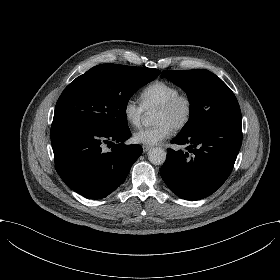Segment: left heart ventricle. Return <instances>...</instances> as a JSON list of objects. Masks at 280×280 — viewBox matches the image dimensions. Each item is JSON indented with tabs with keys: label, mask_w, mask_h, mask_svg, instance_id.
Wrapping results in <instances>:
<instances>
[{
	"label": "left heart ventricle",
	"mask_w": 280,
	"mask_h": 280,
	"mask_svg": "<svg viewBox=\"0 0 280 280\" xmlns=\"http://www.w3.org/2000/svg\"><path fill=\"white\" fill-rule=\"evenodd\" d=\"M185 111L186 109L184 104H179L172 110H161L156 108L154 112V123L157 124L161 121H167L175 126V124L183 118Z\"/></svg>",
	"instance_id": "b2bd125f"
}]
</instances>
